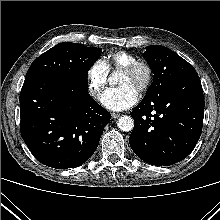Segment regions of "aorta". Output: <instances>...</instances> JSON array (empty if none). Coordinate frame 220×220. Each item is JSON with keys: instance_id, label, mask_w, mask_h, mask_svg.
Listing matches in <instances>:
<instances>
[{"instance_id": "762f6f07", "label": "aorta", "mask_w": 220, "mask_h": 220, "mask_svg": "<svg viewBox=\"0 0 220 220\" xmlns=\"http://www.w3.org/2000/svg\"><path fill=\"white\" fill-rule=\"evenodd\" d=\"M110 84H115L116 83V73H113L109 78H108ZM117 126L120 130L124 132H129L133 129L134 127V120L130 116H122L118 119Z\"/></svg>"}]
</instances>
